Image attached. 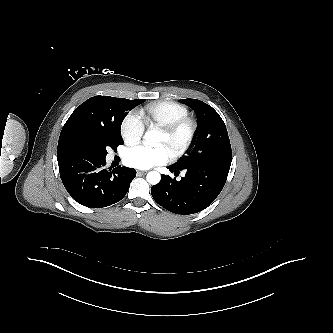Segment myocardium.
I'll use <instances>...</instances> for the list:
<instances>
[{
  "label": "myocardium",
  "instance_id": "1",
  "mask_svg": "<svg viewBox=\"0 0 333 333\" xmlns=\"http://www.w3.org/2000/svg\"><path fill=\"white\" fill-rule=\"evenodd\" d=\"M161 132L168 137L171 146V157L175 159L186 153L193 143L197 132V122L195 119L186 116L161 127ZM181 132H184L182 141L175 143L176 137Z\"/></svg>",
  "mask_w": 333,
  "mask_h": 333
}]
</instances>
